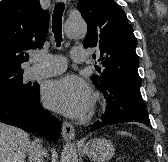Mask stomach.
<instances>
[{
	"mask_svg": "<svg viewBox=\"0 0 168 162\" xmlns=\"http://www.w3.org/2000/svg\"><path fill=\"white\" fill-rule=\"evenodd\" d=\"M83 153L94 162H106L114 155V146L105 138H93L83 146Z\"/></svg>",
	"mask_w": 168,
	"mask_h": 162,
	"instance_id": "stomach-1",
	"label": "stomach"
}]
</instances>
